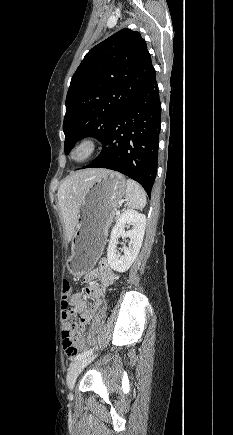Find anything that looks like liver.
Listing matches in <instances>:
<instances>
[{
  "label": "liver",
  "instance_id": "6515ba94",
  "mask_svg": "<svg viewBox=\"0 0 233 435\" xmlns=\"http://www.w3.org/2000/svg\"><path fill=\"white\" fill-rule=\"evenodd\" d=\"M107 169H84L70 174L58 189V203L63 217L66 240L70 242L75 230L79 208L93 182L106 174Z\"/></svg>",
  "mask_w": 233,
  "mask_h": 435
}]
</instances>
